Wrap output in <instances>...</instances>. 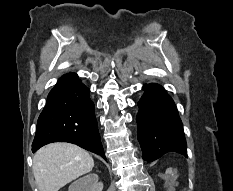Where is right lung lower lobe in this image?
<instances>
[{"instance_id":"98d812e1","label":"right lung lower lobe","mask_w":233,"mask_h":191,"mask_svg":"<svg viewBox=\"0 0 233 191\" xmlns=\"http://www.w3.org/2000/svg\"><path fill=\"white\" fill-rule=\"evenodd\" d=\"M89 92L75 73L58 80L38 118L32 152L48 143L70 142L106 159Z\"/></svg>"}]
</instances>
